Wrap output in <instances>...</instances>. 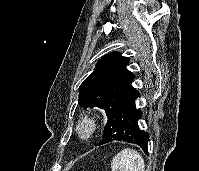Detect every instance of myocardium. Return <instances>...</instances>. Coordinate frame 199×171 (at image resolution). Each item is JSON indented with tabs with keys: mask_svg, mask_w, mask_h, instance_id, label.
<instances>
[{
	"mask_svg": "<svg viewBox=\"0 0 199 171\" xmlns=\"http://www.w3.org/2000/svg\"><path fill=\"white\" fill-rule=\"evenodd\" d=\"M74 131L81 141H88L97 131V120L93 116L84 115L76 122Z\"/></svg>",
	"mask_w": 199,
	"mask_h": 171,
	"instance_id": "f54148a6",
	"label": "myocardium"
}]
</instances>
